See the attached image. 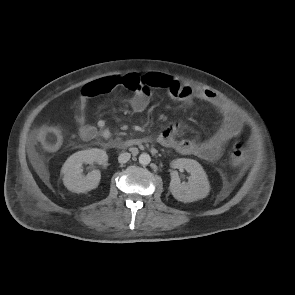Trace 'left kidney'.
<instances>
[{
  "label": "left kidney",
  "mask_w": 295,
  "mask_h": 295,
  "mask_svg": "<svg viewBox=\"0 0 295 295\" xmlns=\"http://www.w3.org/2000/svg\"><path fill=\"white\" fill-rule=\"evenodd\" d=\"M171 166L175 169H184L190 173L188 182L181 183L177 171L171 172L169 189L175 199L189 203L203 199L208 195L210 185L207 174L197 161L180 158L172 161Z\"/></svg>",
  "instance_id": "left-kidney-1"
}]
</instances>
